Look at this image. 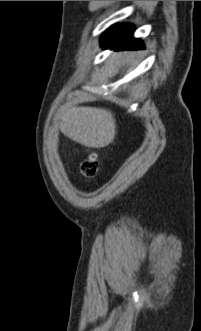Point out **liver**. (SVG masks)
Listing matches in <instances>:
<instances>
[{
    "label": "liver",
    "instance_id": "6515ba94",
    "mask_svg": "<svg viewBox=\"0 0 201 331\" xmlns=\"http://www.w3.org/2000/svg\"><path fill=\"white\" fill-rule=\"evenodd\" d=\"M133 56L128 52L123 58ZM61 132L69 139L91 148H103L114 141L116 121L113 114L103 108L62 106L56 113Z\"/></svg>",
    "mask_w": 201,
    "mask_h": 331
}]
</instances>
